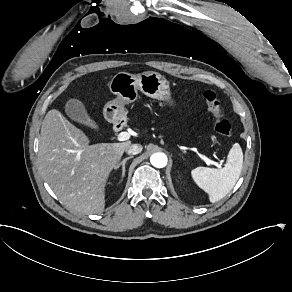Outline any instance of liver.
Returning a JSON list of instances; mask_svg holds the SVG:
<instances>
[{"label": "liver", "instance_id": "liver-1", "mask_svg": "<svg viewBox=\"0 0 292 292\" xmlns=\"http://www.w3.org/2000/svg\"><path fill=\"white\" fill-rule=\"evenodd\" d=\"M90 138L58 110H50L41 125L39 163L46 183L67 208L101 213L106 187L131 140L89 146Z\"/></svg>", "mask_w": 292, "mask_h": 292}]
</instances>
